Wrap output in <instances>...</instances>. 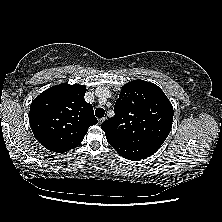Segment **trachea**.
<instances>
[{"instance_id": "3493384b", "label": "trachea", "mask_w": 222, "mask_h": 222, "mask_svg": "<svg viewBox=\"0 0 222 222\" xmlns=\"http://www.w3.org/2000/svg\"><path fill=\"white\" fill-rule=\"evenodd\" d=\"M104 114H105V110L103 108H97L95 110V115L98 118H102L104 116Z\"/></svg>"}]
</instances>
